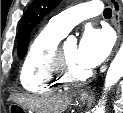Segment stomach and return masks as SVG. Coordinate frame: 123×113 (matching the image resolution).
<instances>
[{"mask_svg": "<svg viewBox=\"0 0 123 113\" xmlns=\"http://www.w3.org/2000/svg\"><path fill=\"white\" fill-rule=\"evenodd\" d=\"M78 99L82 102V103H86L89 100V97L84 96V95H79ZM9 111L11 112H19V113H24L25 110L22 106L16 104V103H12L9 106Z\"/></svg>", "mask_w": 123, "mask_h": 113, "instance_id": "stomach-1", "label": "stomach"}]
</instances>
